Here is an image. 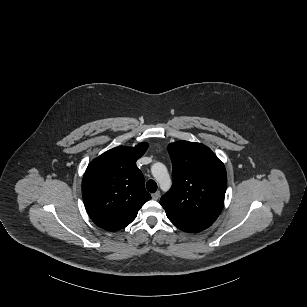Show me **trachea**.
<instances>
[{
    "mask_svg": "<svg viewBox=\"0 0 307 307\" xmlns=\"http://www.w3.org/2000/svg\"><path fill=\"white\" fill-rule=\"evenodd\" d=\"M146 188L149 192L155 193V191H157V183L154 180H148L146 183Z\"/></svg>",
    "mask_w": 307,
    "mask_h": 307,
    "instance_id": "3493384b",
    "label": "trachea"
}]
</instances>
